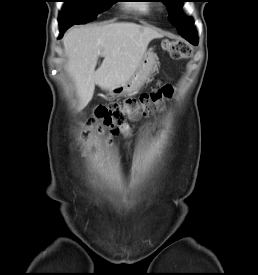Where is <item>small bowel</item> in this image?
Instances as JSON below:
<instances>
[{
    "label": "small bowel",
    "mask_w": 258,
    "mask_h": 275,
    "mask_svg": "<svg viewBox=\"0 0 258 275\" xmlns=\"http://www.w3.org/2000/svg\"><path fill=\"white\" fill-rule=\"evenodd\" d=\"M123 133H124V135H125L126 137H128V138H130L131 135H132V132H131V130H130L129 128H125V129L123 130Z\"/></svg>",
    "instance_id": "small-bowel-1"
}]
</instances>
